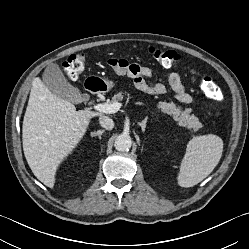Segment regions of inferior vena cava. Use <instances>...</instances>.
Masks as SVG:
<instances>
[{
  "instance_id": "1",
  "label": "inferior vena cava",
  "mask_w": 249,
  "mask_h": 249,
  "mask_svg": "<svg viewBox=\"0 0 249 249\" xmlns=\"http://www.w3.org/2000/svg\"><path fill=\"white\" fill-rule=\"evenodd\" d=\"M99 123H100V125H101L103 128H105V129H107V130H111V129H113V127H114V122H113V120H112L111 118L105 116V115H101V116L99 117Z\"/></svg>"
}]
</instances>
